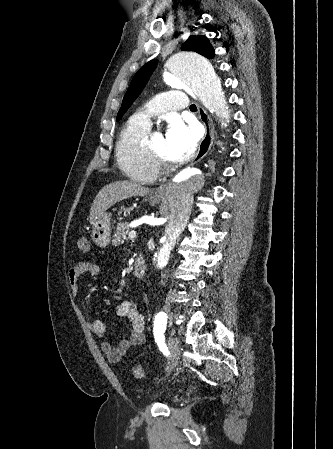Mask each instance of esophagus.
<instances>
[{"instance_id":"34e87169","label":"esophagus","mask_w":333,"mask_h":449,"mask_svg":"<svg viewBox=\"0 0 333 449\" xmlns=\"http://www.w3.org/2000/svg\"><path fill=\"white\" fill-rule=\"evenodd\" d=\"M199 118L205 127V134L203 139L200 142L198 152L192 160V164L199 162L210 150L213 141H214V125L211 117L206 112V110L202 107H198ZM165 191V185H161L156 188L152 194L155 197H163Z\"/></svg>"}]
</instances>
